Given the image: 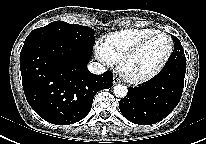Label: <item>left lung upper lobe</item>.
<instances>
[{
	"label": "left lung upper lobe",
	"instance_id": "obj_1",
	"mask_svg": "<svg viewBox=\"0 0 206 144\" xmlns=\"http://www.w3.org/2000/svg\"><path fill=\"white\" fill-rule=\"evenodd\" d=\"M172 38L175 42L174 43V51H182L183 52V48H182L180 41L174 36H172Z\"/></svg>",
	"mask_w": 206,
	"mask_h": 144
}]
</instances>
